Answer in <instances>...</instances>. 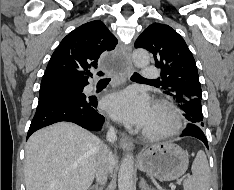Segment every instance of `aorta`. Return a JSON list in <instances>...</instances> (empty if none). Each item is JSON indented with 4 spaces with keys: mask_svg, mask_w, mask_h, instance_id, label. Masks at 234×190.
<instances>
[{
    "mask_svg": "<svg viewBox=\"0 0 234 190\" xmlns=\"http://www.w3.org/2000/svg\"><path fill=\"white\" fill-rule=\"evenodd\" d=\"M133 61L137 67H145L149 64V53L144 49H137L133 52ZM133 171L134 161L133 155L127 154L120 166L118 174V188L119 190H132L133 189Z\"/></svg>",
    "mask_w": 234,
    "mask_h": 190,
    "instance_id": "aorta-1",
    "label": "aorta"
}]
</instances>
